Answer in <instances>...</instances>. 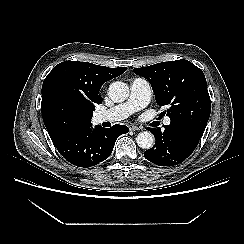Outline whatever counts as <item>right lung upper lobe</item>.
<instances>
[{
  "mask_svg": "<svg viewBox=\"0 0 244 244\" xmlns=\"http://www.w3.org/2000/svg\"><path fill=\"white\" fill-rule=\"evenodd\" d=\"M126 70L127 67L108 68L77 61H65L56 65L42 86L41 110L50 137L61 133L53 127L47 116V106L53 94L59 93L76 106L93 113L95 105L102 102V97L99 95L101 86ZM89 125L91 118L82 126Z\"/></svg>",
  "mask_w": 244,
  "mask_h": 244,
  "instance_id": "1",
  "label": "right lung upper lobe"
}]
</instances>
